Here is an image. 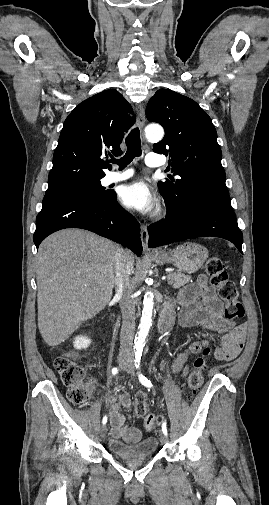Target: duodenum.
Segmentation results:
<instances>
[{"mask_svg":"<svg viewBox=\"0 0 269 505\" xmlns=\"http://www.w3.org/2000/svg\"><path fill=\"white\" fill-rule=\"evenodd\" d=\"M115 315H112V321H114ZM173 319L172 309L166 306L159 317L158 327L161 333H167L171 327Z\"/></svg>","mask_w":269,"mask_h":505,"instance_id":"obj_1","label":"duodenum"}]
</instances>
